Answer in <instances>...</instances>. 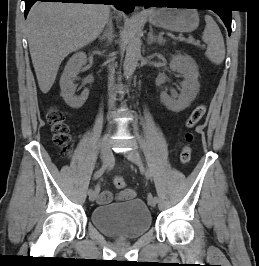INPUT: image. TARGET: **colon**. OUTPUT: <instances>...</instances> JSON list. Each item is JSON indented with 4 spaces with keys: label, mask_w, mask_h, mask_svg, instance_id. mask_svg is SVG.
Wrapping results in <instances>:
<instances>
[{
    "label": "colon",
    "mask_w": 259,
    "mask_h": 266,
    "mask_svg": "<svg viewBox=\"0 0 259 266\" xmlns=\"http://www.w3.org/2000/svg\"><path fill=\"white\" fill-rule=\"evenodd\" d=\"M206 113V105L199 104L196 106L189 117L186 120V128L188 131L185 133V146L180 152V160L186 164L190 162L192 157L191 142L193 140V134L191 129L194 128ZM47 122L49 123L52 131L53 141L59 146L60 153L63 157H67L71 153L72 141L70 134L69 124L66 122L64 113L56 108L51 107L46 114ZM114 185L117 189L123 190L126 186V182L123 177L118 176L114 179Z\"/></svg>",
    "instance_id": "5ec220e1"
}]
</instances>
